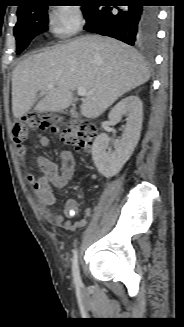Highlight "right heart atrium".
<instances>
[{
	"label": "right heart atrium",
	"instance_id": "1",
	"mask_svg": "<svg viewBox=\"0 0 184 327\" xmlns=\"http://www.w3.org/2000/svg\"><path fill=\"white\" fill-rule=\"evenodd\" d=\"M84 19L76 6H64L52 11L48 16L50 30L60 36L69 38L83 27Z\"/></svg>",
	"mask_w": 184,
	"mask_h": 327
}]
</instances>
